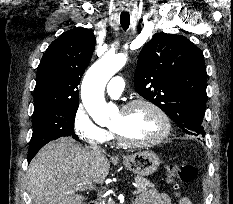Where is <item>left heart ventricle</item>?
<instances>
[{"label": "left heart ventricle", "instance_id": "left-heart-ventricle-1", "mask_svg": "<svg viewBox=\"0 0 233 204\" xmlns=\"http://www.w3.org/2000/svg\"><path fill=\"white\" fill-rule=\"evenodd\" d=\"M111 128L131 141H148L157 137L163 130L160 118L149 108L137 106L127 112L119 110Z\"/></svg>", "mask_w": 233, "mask_h": 204}]
</instances>
